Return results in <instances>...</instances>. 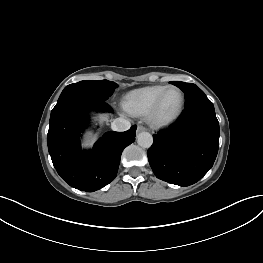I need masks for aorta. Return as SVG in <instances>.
Listing matches in <instances>:
<instances>
[{
  "instance_id": "762f6f07",
  "label": "aorta",
  "mask_w": 263,
  "mask_h": 263,
  "mask_svg": "<svg viewBox=\"0 0 263 263\" xmlns=\"http://www.w3.org/2000/svg\"><path fill=\"white\" fill-rule=\"evenodd\" d=\"M137 143L143 148H149L153 143V137L148 132H141L137 135Z\"/></svg>"
}]
</instances>
